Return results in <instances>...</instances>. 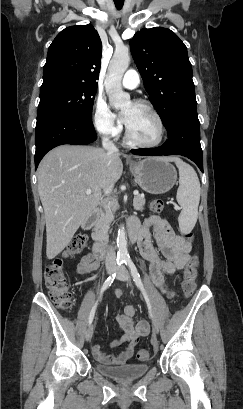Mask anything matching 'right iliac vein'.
<instances>
[{
    "label": "right iliac vein",
    "mask_w": 243,
    "mask_h": 409,
    "mask_svg": "<svg viewBox=\"0 0 243 409\" xmlns=\"http://www.w3.org/2000/svg\"><path fill=\"white\" fill-rule=\"evenodd\" d=\"M114 270H115L114 267H108L107 268V273L110 275V274H112L114 272ZM93 331H94V326L90 325L88 327L87 331H86V334H85V338H86L87 342L91 341V338L93 336Z\"/></svg>",
    "instance_id": "1"
}]
</instances>
